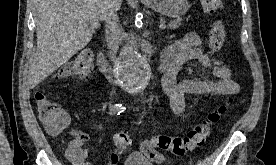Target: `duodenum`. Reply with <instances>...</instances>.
<instances>
[{"instance_id":"410a0bca","label":"duodenum","mask_w":276,"mask_h":165,"mask_svg":"<svg viewBox=\"0 0 276 165\" xmlns=\"http://www.w3.org/2000/svg\"><path fill=\"white\" fill-rule=\"evenodd\" d=\"M97 63L99 66L100 71L106 76L107 79H109L111 82H114L115 80V74L114 70L107 59L106 55L99 51L97 54ZM168 62L161 58L159 69L164 71L167 68Z\"/></svg>"}]
</instances>
